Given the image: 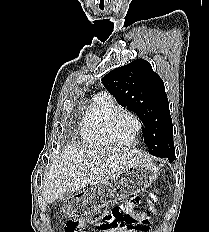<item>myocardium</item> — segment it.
Masks as SVG:
<instances>
[{
	"label": "myocardium",
	"instance_id": "obj_1",
	"mask_svg": "<svg viewBox=\"0 0 209 232\" xmlns=\"http://www.w3.org/2000/svg\"><path fill=\"white\" fill-rule=\"evenodd\" d=\"M123 114H127V115L131 116L136 124L134 134L131 137V139L127 142H121V141L117 140L115 135H114V132H113L114 122L116 121V119L119 116H121ZM141 127H142L141 120L139 119V117L137 116L136 113H134L133 111L126 109V108H119L116 111H114L113 113H111V115L109 116V118L107 120V124H106V134H107V137L111 141L112 144L117 145V146H130L135 141L137 135L139 134V132L141 130Z\"/></svg>",
	"mask_w": 209,
	"mask_h": 232
}]
</instances>
